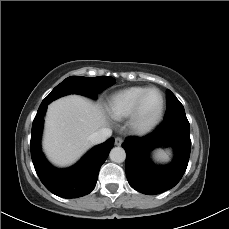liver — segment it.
Instances as JSON below:
<instances>
[{
  "label": "liver",
  "mask_w": 229,
  "mask_h": 229,
  "mask_svg": "<svg viewBox=\"0 0 229 229\" xmlns=\"http://www.w3.org/2000/svg\"><path fill=\"white\" fill-rule=\"evenodd\" d=\"M106 125L99 104L78 95L60 98L48 106L44 151L56 165L72 164L91 147L89 136Z\"/></svg>",
  "instance_id": "1"
}]
</instances>
